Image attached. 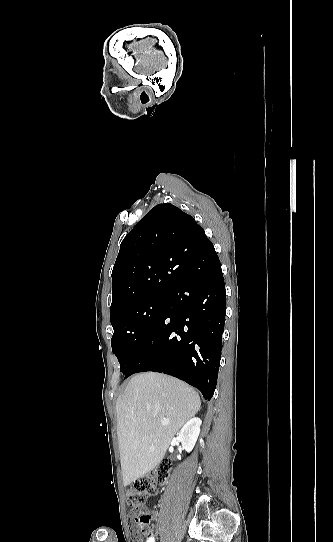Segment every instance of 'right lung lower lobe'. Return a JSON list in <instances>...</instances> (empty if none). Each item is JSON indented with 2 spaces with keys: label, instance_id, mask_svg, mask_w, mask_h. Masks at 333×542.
<instances>
[{
  "label": "right lung lower lobe",
  "instance_id": "obj_1",
  "mask_svg": "<svg viewBox=\"0 0 333 542\" xmlns=\"http://www.w3.org/2000/svg\"><path fill=\"white\" fill-rule=\"evenodd\" d=\"M183 279L168 292L165 313L145 340L125 378L138 372L172 375L214 394L226 314L225 284L212 243L176 253Z\"/></svg>",
  "mask_w": 333,
  "mask_h": 542
}]
</instances>
